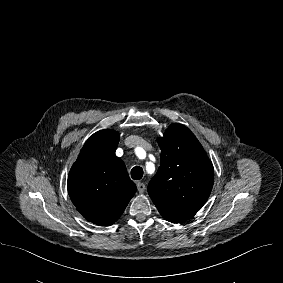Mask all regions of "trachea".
<instances>
[{
    "label": "trachea",
    "mask_w": 283,
    "mask_h": 283,
    "mask_svg": "<svg viewBox=\"0 0 283 283\" xmlns=\"http://www.w3.org/2000/svg\"><path fill=\"white\" fill-rule=\"evenodd\" d=\"M131 177L134 180H140L143 177V169L139 166L132 168Z\"/></svg>",
    "instance_id": "trachea-1"
}]
</instances>
